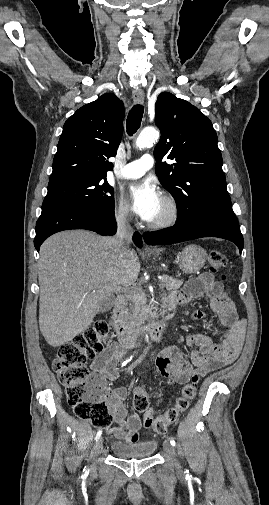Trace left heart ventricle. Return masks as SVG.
<instances>
[{"label": "left heart ventricle", "instance_id": "obj_1", "mask_svg": "<svg viewBox=\"0 0 269 505\" xmlns=\"http://www.w3.org/2000/svg\"><path fill=\"white\" fill-rule=\"evenodd\" d=\"M167 214H168V207L161 199L158 208L156 209L155 213L153 214V216L150 218L149 221H157L163 219L164 217L167 216Z\"/></svg>", "mask_w": 269, "mask_h": 505}]
</instances>
